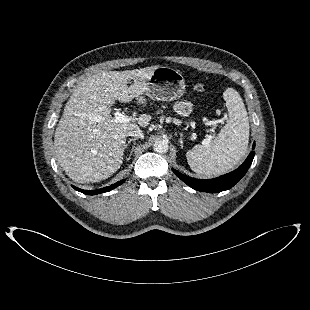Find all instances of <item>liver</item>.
<instances>
[{
  "mask_svg": "<svg viewBox=\"0 0 310 310\" xmlns=\"http://www.w3.org/2000/svg\"><path fill=\"white\" fill-rule=\"evenodd\" d=\"M158 66L106 71L86 78L67 101L54 136V151L62 169L75 182L95 183L114 174L123 163L127 132L139 128L115 122L110 107L144 95ZM128 80H134L127 86ZM151 116L137 118L148 126Z\"/></svg>",
  "mask_w": 310,
  "mask_h": 310,
  "instance_id": "liver-1",
  "label": "liver"
}]
</instances>
